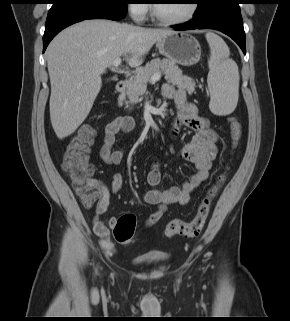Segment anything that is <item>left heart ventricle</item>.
<instances>
[{
  "label": "left heart ventricle",
  "mask_w": 290,
  "mask_h": 321,
  "mask_svg": "<svg viewBox=\"0 0 290 321\" xmlns=\"http://www.w3.org/2000/svg\"><path fill=\"white\" fill-rule=\"evenodd\" d=\"M189 0H158L155 3L158 15L164 19L184 17L190 10Z\"/></svg>",
  "instance_id": "left-heart-ventricle-1"
}]
</instances>
